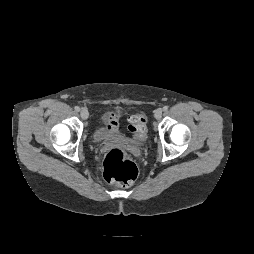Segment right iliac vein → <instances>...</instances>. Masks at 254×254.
<instances>
[{
	"instance_id": "right-iliac-vein-1",
	"label": "right iliac vein",
	"mask_w": 254,
	"mask_h": 254,
	"mask_svg": "<svg viewBox=\"0 0 254 254\" xmlns=\"http://www.w3.org/2000/svg\"><path fill=\"white\" fill-rule=\"evenodd\" d=\"M80 115H81L82 119L86 120L89 116V112L86 108H82L80 110Z\"/></svg>"
}]
</instances>
